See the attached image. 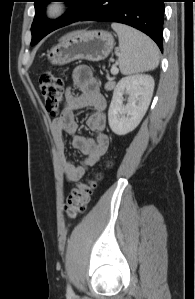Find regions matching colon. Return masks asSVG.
I'll return each mask as SVG.
<instances>
[{
    "mask_svg": "<svg viewBox=\"0 0 195 299\" xmlns=\"http://www.w3.org/2000/svg\"><path fill=\"white\" fill-rule=\"evenodd\" d=\"M39 87L46 111L51 116L59 113L63 97L64 78L53 71H46L39 78ZM101 179L100 173H95L92 178L79 182L69 194L64 210L69 221L82 215L90 200V196Z\"/></svg>",
    "mask_w": 195,
    "mask_h": 299,
    "instance_id": "obj_1",
    "label": "colon"
}]
</instances>
